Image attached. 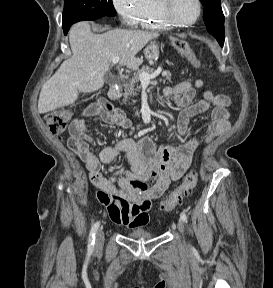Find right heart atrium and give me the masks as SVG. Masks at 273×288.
<instances>
[{
    "label": "right heart atrium",
    "mask_w": 273,
    "mask_h": 288,
    "mask_svg": "<svg viewBox=\"0 0 273 288\" xmlns=\"http://www.w3.org/2000/svg\"><path fill=\"white\" fill-rule=\"evenodd\" d=\"M143 0H112L121 21L129 26L136 25Z\"/></svg>",
    "instance_id": "obj_1"
}]
</instances>
